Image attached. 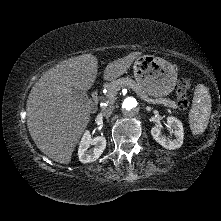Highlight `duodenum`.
I'll return each mask as SVG.
<instances>
[{
    "instance_id": "1",
    "label": "duodenum",
    "mask_w": 221,
    "mask_h": 221,
    "mask_svg": "<svg viewBox=\"0 0 221 221\" xmlns=\"http://www.w3.org/2000/svg\"><path fill=\"white\" fill-rule=\"evenodd\" d=\"M93 98H94L95 102L98 101V94H97V92H94V94H93Z\"/></svg>"
}]
</instances>
